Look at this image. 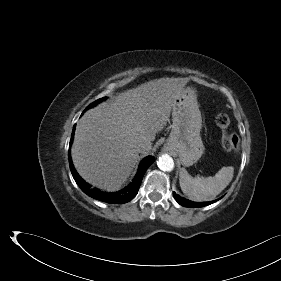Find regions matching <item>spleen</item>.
<instances>
[{
	"mask_svg": "<svg viewBox=\"0 0 281 281\" xmlns=\"http://www.w3.org/2000/svg\"><path fill=\"white\" fill-rule=\"evenodd\" d=\"M234 168L222 167L215 176L193 178L185 168L180 169L182 192L192 201H210L219 195L232 181Z\"/></svg>",
	"mask_w": 281,
	"mask_h": 281,
	"instance_id": "1",
	"label": "spleen"
}]
</instances>
